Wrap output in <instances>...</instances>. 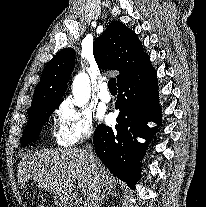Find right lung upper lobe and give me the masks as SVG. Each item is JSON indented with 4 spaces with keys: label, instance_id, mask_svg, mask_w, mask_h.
<instances>
[{
    "label": "right lung upper lobe",
    "instance_id": "1",
    "mask_svg": "<svg viewBox=\"0 0 206 207\" xmlns=\"http://www.w3.org/2000/svg\"><path fill=\"white\" fill-rule=\"evenodd\" d=\"M93 54L102 69L118 70L117 84L132 74L148 57L135 32L119 21L111 22L93 44ZM75 50L59 51L46 65L35 88L29 112L47 104H60L74 69Z\"/></svg>",
    "mask_w": 206,
    "mask_h": 207
}]
</instances>
